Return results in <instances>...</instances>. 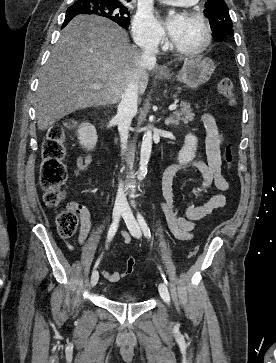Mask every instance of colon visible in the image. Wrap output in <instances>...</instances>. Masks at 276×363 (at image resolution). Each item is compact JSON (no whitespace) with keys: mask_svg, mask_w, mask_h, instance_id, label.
Returning a JSON list of instances; mask_svg holds the SVG:
<instances>
[{"mask_svg":"<svg viewBox=\"0 0 276 363\" xmlns=\"http://www.w3.org/2000/svg\"><path fill=\"white\" fill-rule=\"evenodd\" d=\"M218 93L226 98L233 99V84L230 79H222L217 83ZM75 121L67 120L61 125H55L50 128L46 139L42 145V163L40 167V185L44 190V201L50 208L59 206L64 198L63 185L67 180V171L63 163L66 151L64 146L65 132L73 128ZM224 159L227 164L233 160L231 146H227L224 153ZM79 223L78 214L75 210L69 208L62 211L57 216L56 225L58 234L63 238L73 236ZM196 255V249L188 252V257ZM135 265L132 257L127 259L128 272H131Z\"/></svg>","mask_w":276,"mask_h":363,"instance_id":"5ec220e1","label":"colon"}]
</instances>
